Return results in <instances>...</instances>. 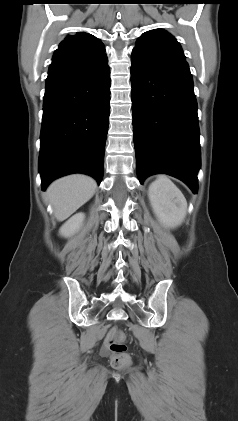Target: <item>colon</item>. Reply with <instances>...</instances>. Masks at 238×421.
<instances>
[{
  "mask_svg": "<svg viewBox=\"0 0 238 421\" xmlns=\"http://www.w3.org/2000/svg\"><path fill=\"white\" fill-rule=\"evenodd\" d=\"M107 346L111 353V365L115 369H123L129 366L130 356L127 353L126 335L123 331L111 330L108 335Z\"/></svg>",
  "mask_w": 238,
  "mask_h": 421,
  "instance_id": "1",
  "label": "colon"
}]
</instances>
